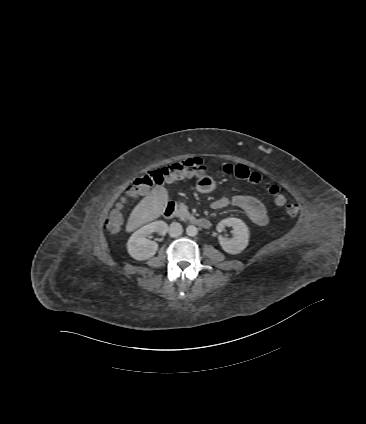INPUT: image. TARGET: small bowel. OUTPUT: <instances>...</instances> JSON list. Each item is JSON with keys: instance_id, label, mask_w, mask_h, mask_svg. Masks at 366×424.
I'll list each match as a JSON object with an SVG mask.
<instances>
[{"instance_id": "obj_1", "label": "small bowel", "mask_w": 366, "mask_h": 424, "mask_svg": "<svg viewBox=\"0 0 366 424\" xmlns=\"http://www.w3.org/2000/svg\"><path fill=\"white\" fill-rule=\"evenodd\" d=\"M229 205L241 208L248 218L259 226L267 225L268 213L261 201L251 195L239 194L233 197H222L213 202L212 207L216 210L224 209Z\"/></svg>"}]
</instances>
